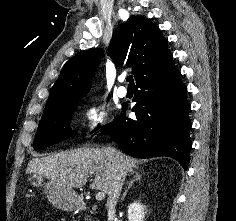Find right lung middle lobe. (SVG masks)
I'll use <instances>...</instances> for the list:
<instances>
[{"label": "right lung middle lobe", "instance_id": "dd1d6c3e", "mask_svg": "<svg viewBox=\"0 0 236 221\" xmlns=\"http://www.w3.org/2000/svg\"><path fill=\"white\" fill-rule=\"evenodd\" d=\"M81 98H76L53 110L44 112L34 140L33 147L36 150L52 146L65 140L67 136L74 135L70 128L71 114Z\"/></svg>", "mask_w": 236, "mask_h": 221}]
</instances>
